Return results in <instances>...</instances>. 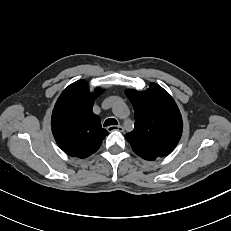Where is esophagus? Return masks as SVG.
<instances>
[{
  "mask_svg": "<svg viewBox=\"0 0 231 231\" xmlns=\"http://www.w3.org/2000/svg\"><path fill=\"white\" fill-rule=\"evenodd\" d=\"M107 130H108L109 132H112V131H115V130L120 131V132H123V131H124V128H123V126H121V125H119V126H109V127H107Z\"/></svg>",
  "mask_w": 231,
  "mask_h": 231,
  "instance_id": "34e87169",
  "label": "esophagus"
}]
</instances>
